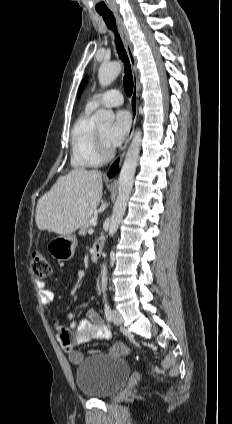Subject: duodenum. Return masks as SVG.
I'll return each mask as SVG.
<instances>
[{
	"label": "duodenum",
	"instance_id": "410a0bca",
	"mask_svg": "<svg viewBox=\"0 0 232 424\" xmlns=\"http://www.w3.org/2000/svg\"><path fill=\"white\" fill-rule=\"evenodd\" d=\"M103 246H104V239L99 238L95 243V246L93 248V252H92V255H91V259H92L93 262L98 261L100 255H101Z\"/></svg>",
	"mask_w": 232,
	"mask_h": 424
}]
</instances>
